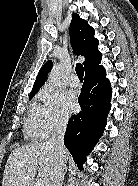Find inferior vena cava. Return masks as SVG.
<instances>
[{
  "label": "inferior vena cava",
  "instance_id": "inferior-vena-cava-1",
  "mask_svg": "<svg viewBox=\"0 0 138 186\" xmlns=\"http://www.w3.org/2000/svg\"><path fill=\"white\" fill-rule=\"evenodd\" d=\"M67 121H60L47 141V144L54 150L55 161L53 163L47 186H60L66 164V148L64 146V135Z\"/></svg>",
  "mask_w": 138,
  "mask_h": 186
}]
</instances>
